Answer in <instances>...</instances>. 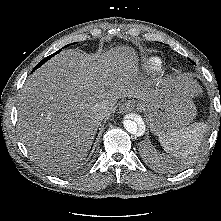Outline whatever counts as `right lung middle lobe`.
<instances>
[{
    "label": "right lung middle lobe",
    "instance_id": "dd1d6c3e",
    "mask_svg": "<svg viewBox=\"0 0 221 221\" xmlns=\"http://www.w3.org/2000/svg\"><path fill=\"white\" fill-rule=\"evenodd\" d=\"M69 45H70V44H69ZM69 45H66V46H64V47H67V46H69ZM60 51H61V49L58 50L57 52L53 53L52 55H50V56L44 58L42 61H40V62L35 66L34 69L39 68L43 63H45L47 60H49L51 57H53L55 54L59 53Z\"/></svg>",
    "mask_w": 221,
    "mask_h": 221
}]
</instances>
